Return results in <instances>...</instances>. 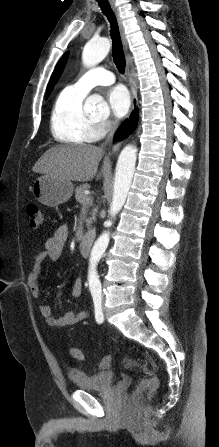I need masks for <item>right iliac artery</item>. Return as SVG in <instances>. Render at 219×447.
Segmentation results:
<instances>
[{"label":"right iliac artery","mask_w":219,"mask_h":447,"mask_svg":"<svg viewBox=\"0 0 219 447\" xmlns=\"http://www.w3.org/2000/svg\"><path fill=\"white\" fill-rule=\"evenodd\" d=\"M94 307H95V318L98 323H102L104 320L103 312H102V297L100 293L94 292L92 293Z\"/></svg>","instance_id":"1"}]
</instances>
